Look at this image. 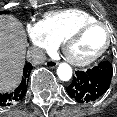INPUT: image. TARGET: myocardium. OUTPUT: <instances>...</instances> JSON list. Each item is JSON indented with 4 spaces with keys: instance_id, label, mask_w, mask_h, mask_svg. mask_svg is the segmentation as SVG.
Masks as SVG:
<instances>
[{
    "instance_id": "f54148a6",
    "label": "myocardium",
    "mask_w": 117,
    "mask_h": 117,
    "mask_svg": "<svg viewBox=\"0 0 117 117\" xmlns=\"http://www.w3.org/2000/svg\"><path fill=\"white\" fill-rule=\"evenodd\" d=\"M95 26H101L106 29L107 31V40L104 44V46L94 53L93 55L86 57V58H77L73 56L71 53V46L74 43L75 40H77L87 29ZM113 38V30L112 28L101 21H91L83 23L82 25L78 26L74 31H72L63 41V52L66 56V58L71 62L72 64L76 66H87L91 63L95 62L97 59H99L110 47L111 42Z\"/></svg>"
}]
</instances>
